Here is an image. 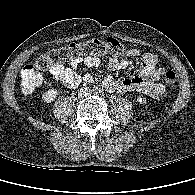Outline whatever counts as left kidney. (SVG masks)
Returning <instances> with one entry per match:
<instances>
[{
    "label": "left kidney",
    "instance_id": "1",
    "mask_svg": "<svg viewBox=\"0 0 195 195\" xmlns=\"http://www.w3.org/2000/svg\"><path fill=\"white\" fill-rule=\"evenodd\" d=\"M137 101H138L139 103H141V104L146 103V100H145L144 98H141V97H138V98H137Z\"/></svg>",
    "mask_w": 195,
    "mask_h": 195
}]
</instances>
